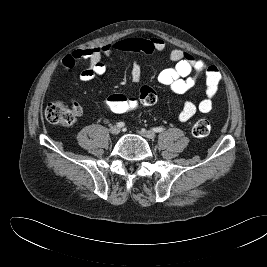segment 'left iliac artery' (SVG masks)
I'll return each instance as SVG.
<instances>
[{
	"instance_id": "left-iliac-artery-1",
	"label": "left iliac artery",
	"mask_w": 267,
	"mask_h": 267,
	"mask_svg": "<svg viewBox=\"0 0 267 267\" xmlns=\"http://www.w3.org/2000/svg\"><path fill=\"white\" fill-rule=\"evenodd\" d=\"M152 130L154 132L160 133V132H163L165 130V128L164 127H156V128H153Z\"/></svg>"
}]
</instances>
